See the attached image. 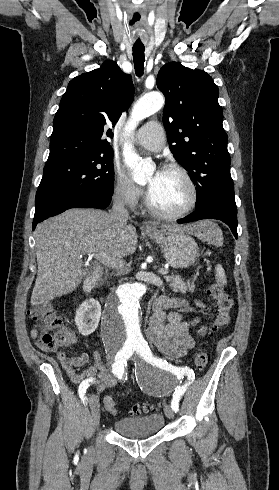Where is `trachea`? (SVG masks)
<instances>
[{
	"instance_id": "1",
	"label": "trachea",
	"mask_w": 279,
	"mask_h": 490,
	"mask_svg": "<svg viewBox=\"0 0 279 490\" xmlns=\"http://www.w3.org/2000/svg\"><path fill=\"white\" fill-rule=\"evenodd\" d=\"M133 59H134V67L137 76L141 77L143 75L144 70V47H133Z\"/></svg>"
}]
</instances>
